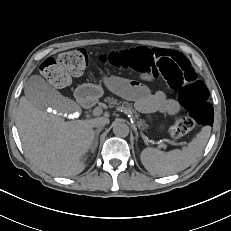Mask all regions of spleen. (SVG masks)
I'll use <instances>...</instances> for the list:
<instances>
[{"instance_id": "1", "label": "spleen", "mask_w": 231, "mask_h": 231, "mask_svg": "<svg viewBox=\"0 0 231 231\" xmlns=\"http://www.w3.org/2000/svg\"><path fill=\"white\" fill-rule=\"evenodd\" d=\"M211 127L204 126L195 138L183 149L162 152L146 148L141 152V162L145 169L155 175L167 176L181 172L200 157L210 137Z\"/></svg>"}]
</instances>
